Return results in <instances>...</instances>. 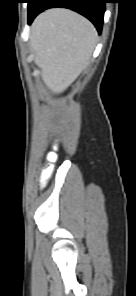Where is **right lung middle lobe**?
<instances>
[{
    "label": "right lung middle lobe",
    "instance_id": "right-lung-middle-lobe-1",
    "mask_svg": "<svg viewBox=\"0 0 136 296\" xmlns=\"http://www.w3.org/2000/svg\"><path fill=\"white\" fill-rule=\"evenodd\" d=\"M35 0H29L28 1V8L31 6V3L34 2Z\"/></svg>",
    "mask_w": 136,
    "mask_h": 296
}]
</instances>
